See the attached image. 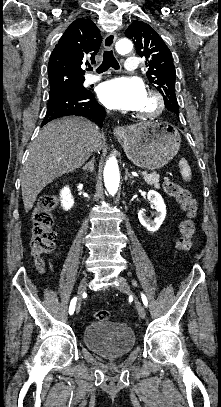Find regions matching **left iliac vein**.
<instances>
[{
    "label": "left iliac vein",
    "instance_id": "left-iliac-vein-1",
    "mask_svg": "<svg viewBox=\"0 0 221 407\" xmlns=\"http://www.w3.org/2000/svg\"><path fill=\"white\" fill-rule=\"evenodd\" d=\"M116 280L119 282L117 288L121 291L124 292L126 294L131 295L134 298L135 301V306L137 309V312L139 314V316L144 319L146 317V312L145 309L143 307V305L141 304V302L136 298V296L133 294L130 285L128 284V282L126 281L125 278L121 277V276H117Z\"/></svg>",
    "mask_w": 221,
    "mask_h": 407
}]
</instances>
